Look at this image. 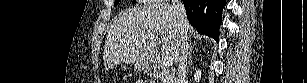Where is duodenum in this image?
Returning <instances> with one entry per match:
<instances>
[{
  "label": "duodenum",
  "mask_w": 307,
  "mask_h": 83,
  "mask_svg": "<svg viewBox=\"0 0 307 83\" xmlns=\"http://www.w3.org/2000/svg\"><path fill=\"white\" fill-rule=\"evenodd\" d=\"M159 73H160V71L157 70V69H152V71H151V75H156V74H159Z\"/></svg>",
  "instance_id": "410a0bca"
}]
</instances>
